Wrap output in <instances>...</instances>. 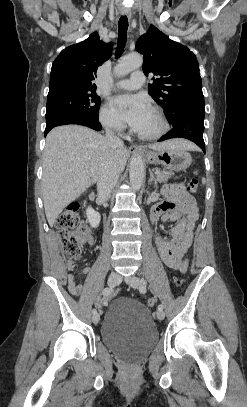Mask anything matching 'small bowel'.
I'll return each mask as SVG.
<instances>
[{
	"instance_id": "1",
	"label": "small bowel",
	"mask_w": 247,
	"mask_h": 407,
	"mask_svg": "<svg viewBox=\"0 0 247 407\" xmlns=\"http://www.w3.org/2000/svg\"><path fill=\"white\" fill-rule=\"evenodd\" d=\"M163 194L165 199L152 208L151 219L153 222L160 219L162 222H172L175 225L167 234L157 235L155 245L159 256L169 269L185 273L188 265L186 255L192 245L193 231L199 217L198 208L195 200L186 193L182 185H167ZM84 243L91 246L93 239L87 237ZM75 266L73 260L67 262V269L70 272L67 276L68 289L71 294L79 295L83 286L75 282V276L71 273ZM90 271L91 267L83 269L84 274ZM103 303V299L96 301L98 306H102Z\"/></svg>"
}]
</instances>
